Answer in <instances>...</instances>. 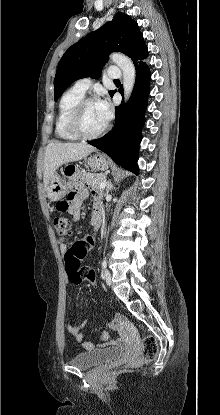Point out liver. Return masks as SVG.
<instances>
[{
    "instance_id": "liver-1",
    "label": "liver",
    "mask_w": 220,
    "mask_h": 415,
    "mask_svg": "<svg viewBox=\"0 0 220 415\" xmlns=\"http://www.w3.org/2000/svg\"><path fill=\"white\" fill-rule=\"evenodd\" d=\"M94 151H96L95 147L86 143L51 142L45 151L43 176L45 189L61 165L81 160Z\"/></svg>"
}]
</instances>
